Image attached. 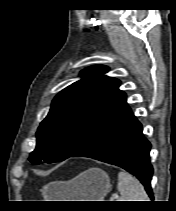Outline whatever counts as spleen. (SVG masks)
I'll return each mask as SVG.
<instances>
[{
    "label": "spleen",
    "mask_w": 176,
    "mask_h": 211,
    "mask_svg": "<svg viewBox=\"0 0 176 211\" xmlns=\"http://www.w3.org/2000/svg\"><path fill=\"white\" fill-rule=\"evenodd\" d=\"M117 189L120 192L118 201H149L143 185L125 171L118 173Z\"/></svg>",
    "instance_id": "1"
}]
</instances>
